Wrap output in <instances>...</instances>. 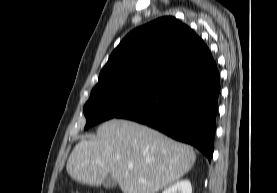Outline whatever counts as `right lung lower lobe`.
<instances>
[{
  "mask_svg": "<svg viewBox=\"0 0 277 193\" xmlns=\"http://www.w3.org/2000/svg\"><path fill=\"white\" fill-rule=\"evenodd\" d=\"M220 92L219 72L211 58L167 81L143 102L117 118L157 129L199 149L210 161Z\"/></svg>",
  "mask_w": 277,
  "mask_h": 193,
  "instance_id": "right-lung-lower-lobe-1",
  "label": "right lung lower lobe"
}]
</instances>
